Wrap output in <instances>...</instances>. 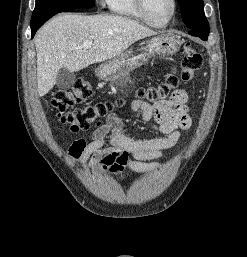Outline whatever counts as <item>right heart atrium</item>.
Masks as SVG:
<instances>
[{
  "mask_svg": "<svg viewBox=\"0 0 247 257\" xmlns=\"http://www.w3.org/2000/svg\"><path fill=\"white\" fill-rule=\"evenodd\" d=\"M97 1H99V3H100L101 5H105L106 2H107V0H97Z\"/></svg>",
  "mask_w": 247,
  "mask_h": 257,
  "instance_id": "obj_1",
  "label": "right heart atrium"
}]
</instances>
